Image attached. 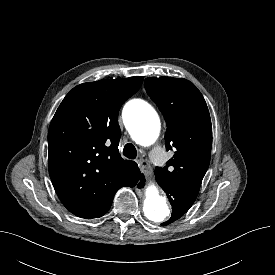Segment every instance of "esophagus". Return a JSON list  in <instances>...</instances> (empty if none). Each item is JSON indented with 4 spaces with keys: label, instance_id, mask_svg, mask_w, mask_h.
I'll use <instances>...</instances> for the list:
<instances>
[{
    "label": "esophagus",
    "instance_id": "esophagus-1",
    "mask_svg": "<svg viewBox=\"0 0 275 275\" xmlns=\"http://www.w3.org/2000/svg\"><path fill=\"white\" fill-rule=\"evenodd\" d=\"M139 167H141L146 175H150L151 169L148 162L144 159L137 160Z\"/></svg>",
    "mask_w": 275,
    "mask_h": 275
}]
</instances>
